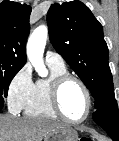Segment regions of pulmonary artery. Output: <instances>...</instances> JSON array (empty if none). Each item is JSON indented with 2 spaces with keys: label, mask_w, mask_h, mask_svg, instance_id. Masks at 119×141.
Segmentation results:
<instances>
[{
  "label": "pulmonary artery",
  "mask_w": 119,
  "mask_h": 141,
  "mask_svg": "<svg viewBox=\"0 0 119 141\" xmlns=\"http://www.w3.org/2000/svg\"><path fill=\"white\" fill-rule=\"evenodd\" d=\"M45 59L47 63H53L57 65L65 64L63 57L60 54L51 50L47 51Z\"/></svg>",
  "instance_id": "obj_1"
}]
</instances>
